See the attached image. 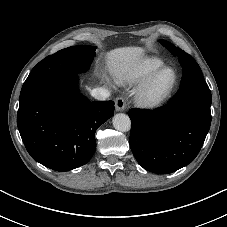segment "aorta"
I'll return each mask as SVG.
<instances>
[{
	"label": "aorta",
	"instance_id": "aorta-1",
	"mask_svg": "<svg viewBox=\"0 0 227 227\" xmlns=\"http://www.w3.org/2000/svg\"><path fill=\"white\" fill-rule=\"evenodd\" d=\"M113 126L120 132H127L131 128V120L128 115L124 113H118L113 117Z\"/></svg>",
	"mask_w": 227,
	"mask_h": 227
}]
</instances>
